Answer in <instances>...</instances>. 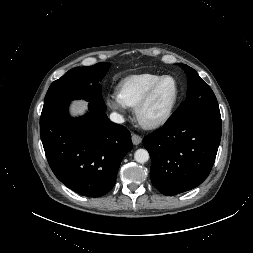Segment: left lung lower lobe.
Segmentation results:
<instances>
[{
	"instance_id": "0a47b994",
	"label": "left lung lower lobe",
	"mask_w": 253,
	"mask_h": 253,
	"mask_svg": "<svg viewBox=\"0 0 253 253\" xmlns=\"http://www.w3.org/2000/svg\"><path fill=\"white\" fill-rule=\"evenodd\" d=\"M221 129V117L197 116L166 123L145 137L153 186L168 196L199 186L214 164Z\"/></svg>"
}]
</instances>
